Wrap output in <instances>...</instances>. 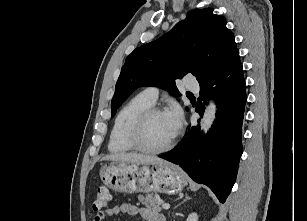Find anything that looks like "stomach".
I'll return each mask as SVG.
<instances>
[{
	"label": "stomach",
	"mask_w": 307,
	"mask_h": 221,
	"mask_svg": "<svg viewBox=\"0 0 307 221\" xmlns=\"http://www.w3.org/2000/svg\"><path fill=\"white\" fill-rule=\"evenodd\" d=\"M102 182L123 193L162 192L174 194L187 185L183 171L169 162L128 163L113 161L100 169Z\"/></svg>",
	"instance_id": "1"
}]
</instances>
